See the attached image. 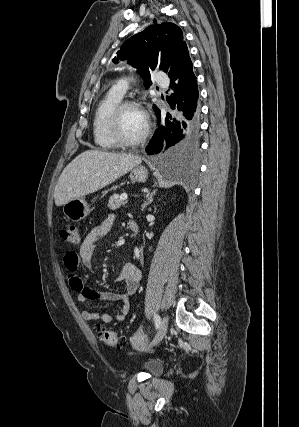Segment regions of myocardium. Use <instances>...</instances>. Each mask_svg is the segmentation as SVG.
<instances>
[{"instance_id": "f54148a6", "label": "myocardium", "mask_w": 299, "mask_h": 427, "mask_svg": "<svg viewBox=\"0 0 299 427\" xmlns=\"http://www.w3.org/2000/svg\"><path fill=\"white\" fill-rule=\"evenodd\" d=\"M126 108L140 110L139 105L131 100H121L109 113L107 118V132L111 140L120 147H133L143 143L150 133V125L146 120V127L143 133L135 139L125 138L120 131V117Z\"/></svg>"}]
</instances>
